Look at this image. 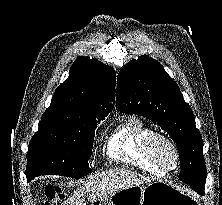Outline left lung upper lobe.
Here are the masks:
<instances>
[{"mask_svg": "<svg viewBox=\"0 0 222 205\" xmlns=\"http://www.w3.org/2000/svg\"><path fill=\"white\" fill-rule=\"evenodd\" d=\"M116 105L120 112L143 115L167 131L176 143L180 157H191L198 164L192 173L181 170L180 180L185 182L190 177L201 187L205 186L203 141L193 112L176 82L158 61L143 55L121 69Z\"/></svg>", "mask_w": 222, "mask_h": 205, "instance_id": "5c2ea615", "label": "left lung upper lobe"}]
</instances>
